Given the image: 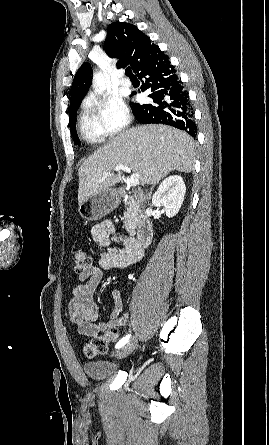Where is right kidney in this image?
<instances>
[{
  "label": "right kidney",
  "mask_w": 269,
  "mask_h": 445,
  "mask_svg": "<svg viewBox=\"0 0 269 445\" xmlns=\"http://www.w3.org/2000/svg\"><path fill=\"white\" fill-rule=\"evenodd\" d=\"M186 186L179 175H172L163 180L152 197V204L156 207H164L166 216H175L184 201Z\"/></svg>",
  "instance_id": "right-kidney-1"
}]
</instances>
